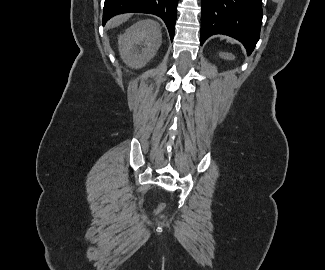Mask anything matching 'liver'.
Here are the masks:
<instances>
[{"label":"liver","instance_id":"obj_1","mask_svg":"<svg viewBox=\"0 0 325 270\" xmlns=\"http://www.w3.org/2000/svg\"><path fill=\"white\" fill-rule=\"evenodd\" d=\"M130 16H131L130 14L116 16L108 22V27L111 28L117 27L121 25L123 22L127 21Z\"/></svg>","mask_w":325,"mask_h":270}]
</instances>
